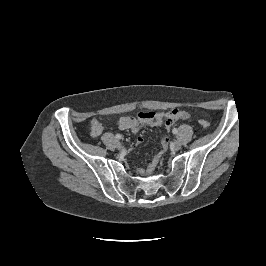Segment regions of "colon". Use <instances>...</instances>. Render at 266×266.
I'll return each instance as SVG.
<instances>
[{"label": "colon", "mask_w": 266, "mask_h": 266, "mask_svg": "<svg viewBox=\"0 0 266 266\" xmlns=\"http://www.w3.org/2000/svg\"><path fill=\"white\" fill-rule=\"evenodd\" d=\"M198 123L199 125L202 127V128H208L210 123L207 121V120H204V119H200L198 120Z\"/></svg>", "instance_id": "obj_1"}]
</instances>
